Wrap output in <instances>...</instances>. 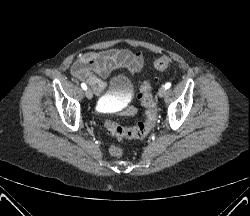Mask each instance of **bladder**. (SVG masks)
I'll return each mask as SVG.
<instances>
[{"mask_svg": "<svg viewBox=\"0 0 250 216\" xmlns=\"http://www.w3.org/2000/svg\"><path fill=\"white\" fill-rule=\"evenodd\" d=\"M133 92V84L129 78L124 75L113 77L109 84L108 93L99 102V108L105 110L111 104L120 98H125Z\"/></svg>", "mask_w": 250, "mask_h": 216, "instance_id": "obj_1", "label": "bladder"}]
</instances>
